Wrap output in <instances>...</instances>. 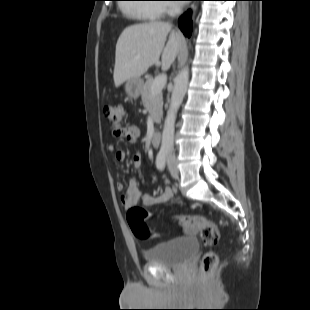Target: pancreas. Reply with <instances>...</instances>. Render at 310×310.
<instances>
[{
	"mask_svg": "<svg viewBox=\"0 0 310 310\" xmlns=\"http://www.w3.org/2000/svg\"><path fill=\"white\" fill-rule=\"evenodd\" d=\"M153 81V78H148L146 80L141 90V98L143 106L150 111L153 121L159 123L162 117L163 97L162 92H158L154 95L151 93Z\"/></svg>",
	"mask_w": 310,
	"mask_h": 310,
	"instance_id": "1",
	"label": "pancreas"
}]
</instances>
